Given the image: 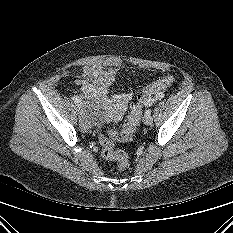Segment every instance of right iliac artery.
<instances>
[{"instance_id":"obj_1","label":"right iliac artery","mask_w":233,"mask_h":233,"mask_svg":"<svg viewBox=\"0 0 233 233\" xmlns=\"http://www.w3.org/2000/svg\"><path fill=\"white\" fill-rule=\"evenodd\" d=\"M72 100H73V102L75 103V104H77V105H79V103H80V100H79V98L77 97V96H72Z\"/></svg>"}]
</instances>
